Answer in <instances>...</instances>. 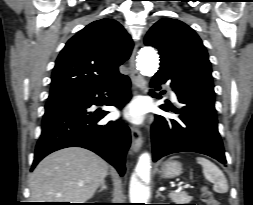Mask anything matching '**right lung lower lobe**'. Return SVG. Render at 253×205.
Masks as SVG:
<instances>
[{"label":"right lung lower lobe","mask_w":253,"mask_h":205,"mask_svg":"<svg viewBox=\"0 0 253 205\" xmlns=\"http://www.w3.org/2000/svg\"><path fill=\"white\" fill-rule=\"evenodd\" d=\"M105 95L109 96L106 105L122 108L131 99L130 79L122 75L99 89L46 103L42 133L31 170L53 151L82 147L97 153L121 176L124 174L125 155L131 142L130 129L119 120L99 124L108 112L88 110L93 104H102Z\"/></svg>","instance_id":"obj_1"}]
</instances>
